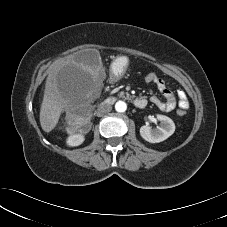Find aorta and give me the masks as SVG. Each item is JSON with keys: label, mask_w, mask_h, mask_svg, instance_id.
Here are the masks:
<instances>
[{"label": "aorta", "mask_w": 227, "mask_h": 227, "mask_svg": "<svg viewBox=\"0 0 227 227\" xmlns=\"http://www.w3.org/2000/svg\"><path fill=\"white\" fill-rule=\"evenodd\" d=\"M127 109V104L124 101H118L115 104V110L117 112H125Z\"/></svg>", "instance_id": "obj_1"}]
</instances>
